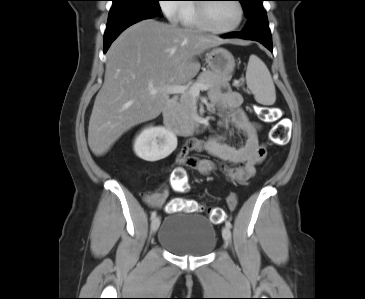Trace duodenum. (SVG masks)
I'll return each instance as SVG.
<instances>
[{"mask_svg": "<svg viewBox=\"0 0 365 299\" xmlns=\"http://www.w3.org/2000/svg\"><path fill=\"white\" fill-rule=\"evenodd\" d=\"M178 99L176 96L171 97L167 103L165 104L162 117L164 125L180 136H187L194 132H198L201 128V125L198 122H189V123H179L175 120V111L177 108Z\"/></svg>", "mask_w": 365, "mask_h": 299, "instance_id": "duodenum-1", "label": "duodenum"}]
</instances>
